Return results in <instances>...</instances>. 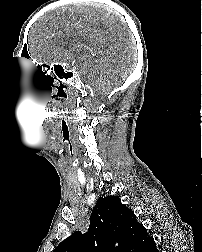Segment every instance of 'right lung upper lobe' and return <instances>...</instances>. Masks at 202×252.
Instances as JSON below:
<instances>
[{
  "label": "right lung upper lobe",
  "instance_id": "right-lung-upper-lobe-1",
  "mask_svg": "<svg viewBox=\"0 0 202 252\" xmlns=\"http://www.w3.org/2000/svg\"><path fill=\"white\" fill-rule=\"evenodd\" d=\"M154 243L131 208L118 196H105L93 209L88 232L73 233L53 252H146Z\"/></svg>",
  "mask_w": 202,
  "mask_h": 252
}]
</instances>
